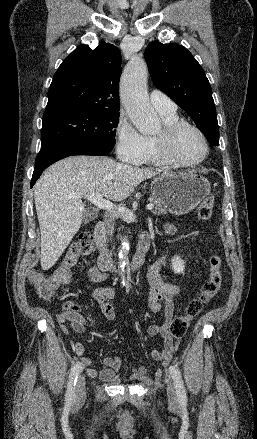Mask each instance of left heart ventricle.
Wrapping results in <instances>:
<instances>
[{
  "mask_svg": "<svg viewBox=\"0 0 257 439\" xmlns=\"http://www.w3.org/2000/svg\"><path fill=\"white\" fill-rule=\"evenodd\" d=\"M173 153L182 162H194L202 157L204 144L195 131L184 129L175 138Z\"/></svg>",
  "mask_w": 257,
  "mask_h": 439,
  "instance_id": "1",
  "label": "left heart ventricle"
}]
</instances>
